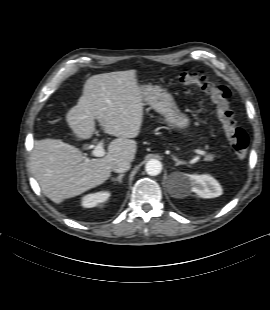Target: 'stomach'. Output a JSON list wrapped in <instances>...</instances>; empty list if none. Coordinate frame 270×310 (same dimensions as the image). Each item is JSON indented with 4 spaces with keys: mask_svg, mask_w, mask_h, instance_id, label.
Listing matches in <instances>:
<instances>
[{
    "mask_svg": "<svg viewBox=\"0 0 270 310\" xmlns=\"http://www.w3.org/2000/svg\"><path fill=\"white\" fill-rule=\"evenodd\" d=\"M143 99L165 117L167 124L179 131L190 127V118L176 106L172 96L157 86L142 87Z\"/></svg>",
    "mask_w": 270,
    "mask_h": 310,
    "instance_id": "obj_1",
    "label": "stomach"
}]
</instances>
